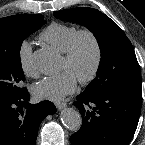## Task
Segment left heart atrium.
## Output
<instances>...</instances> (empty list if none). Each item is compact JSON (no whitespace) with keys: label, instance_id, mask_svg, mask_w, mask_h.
<instances>
[{"label":"left heart atrium","instance_id":"1","mask_svg":"<svg viewBox=\"0 0 145 145\" xmlns=\"http://www.w3.org/2000/svg\"><path fill=\"white\" fill-rule=\"evenodd\" d=\"M77 78L68 70L46 77L32 87V93L39 100L61 101L77 88Z\"/></svg>","mask_w":145,"mask_h":145}]
</instances>
